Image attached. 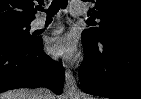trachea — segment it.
Returning a JSON list of instances; mask_svg holds the SVG:
<instances>
[{"mask_svg": "<svg viewBox=\"0 0 141 99\" xmlns=\"http://www.w3.org/2000/svg\"><path fill=\"white\" fill-rule=\"evenodd\" d=\"M67 4L68 0H53L51 6L46 10L47 20L51 21L52 17L57 14L60 8L65 9L67 7ZM40 9L41 7L39 8V10Z\"/></svg>", "mask_w": 141, "mask_h": 99, "instance_id": "obj_1", "label": "trachea"}]
</instances>
